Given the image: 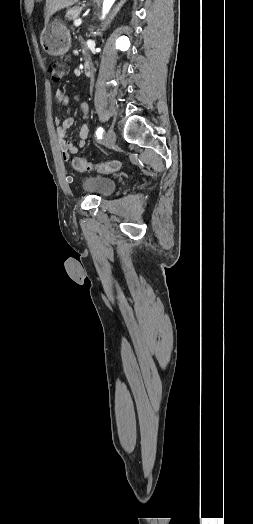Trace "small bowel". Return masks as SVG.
I'll return each mask as SVG.
<instances>
[{"instance_id": "obj_1", "label": "small bowel", "mask_w": 253, "mask_h": 524, "mask_svg": "<svg viewBox=\"0 0 253 524\" xmlns=\"http://www.w3.org/2000/svg\"><path fill=\"white\" fill-rule=\"evenodd\" d=\"M56 100L66 105L70 102V96L66 95L61 89H58L55 93ZM84 122L79 130V141L77 143H74L72 141H69L66 139V134L69 128L72 127L74 120L73 118H65L61 120L60 118L55 119V123L57 125V135L58 140L62 152L63 159L65 161H69L72 154H76L80 148L85 147L86 139L89 135V127H88V113H89V107L86 102H82L80 105Z\"/></svg>"}]
</instances>
